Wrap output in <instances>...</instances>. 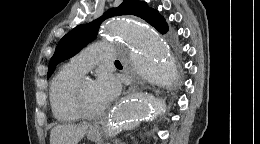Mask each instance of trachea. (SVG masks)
<instances>
[{"label": "trachea", "instance_id": "3493384b", "mask_svg": "<svg viewBox=\"0 0 260 144\" xmlns=\"http://www.w3.org/2000/svg\"><path fill=\"white\" fill-rule=\"evenodd\" d=\"M115 64H120V62L118 60L115 61Z\"/></svg>", "mask_w": 260, "mask_h": 144}]
</instances>
